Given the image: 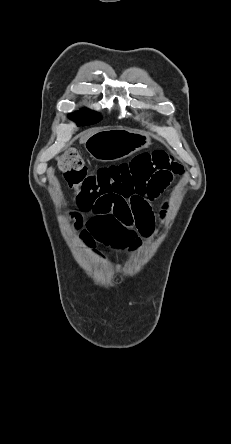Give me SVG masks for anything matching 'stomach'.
I'll use <instances>...</instances> for the list:
<instances>
[{"label":"stomach","instance_id":"obj_1","mask_svg":"<svg viewBox=\"0 0 231 444\" xmlns=\"http://www.w3.org/2000/svg\"><path fill=\"white\" fill-rule=\"evenodd\" d=\"M150 137L138 130L119 128L96 132L90 136L85 147L91 157L99 161H115L147 148Z\"/></svg>","mask_w":231,"mask_h":444}]
</instances>
